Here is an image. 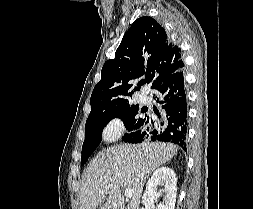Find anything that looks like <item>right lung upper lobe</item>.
<instances>
[{
	"label": "right lung upper lobe",
	"mask_w": 253,
	"mask_h": 209,
	"mask_svg": "<svg viewBox=\"0 0 253 209\" xmlns=\"http://www.w3.org/2000/svg\"><path fill=\"white\" fill-rule=\"evenodd\" d=\"M183 68L181 49L169 41L165 29L151 17L137 19L125 33L115 58L105 62L91 95L88 117L134 106L129 104L139 90L134 79L145 77L151 89H157Z\"/></svg>",
	"instance_id": "1"
}]
</instances>
